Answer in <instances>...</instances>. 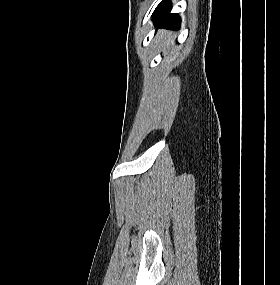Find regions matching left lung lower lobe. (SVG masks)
I'll return each instance as SVG.
<instances>
[{"label": "left lung lower lobe", "instance_id": "left-lung-lower-lobe-1", "mask_svg": "<svg viewBox=\"0 0 280 285\" xmlns=\"http://www.w3.org/2000/svg\"><path fill=\"white\" fill-rule=\"evenodd\" d=\"M170 0H162L153 13L155 25L167 29L177 30L180 25V17L178 14H170Z\"/></svg>", "mask_w": 280, "mask_h": 285}]
</instances>
